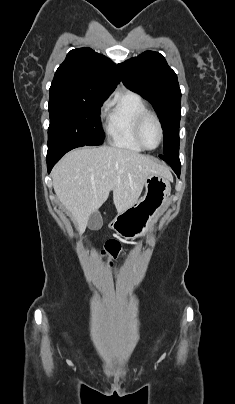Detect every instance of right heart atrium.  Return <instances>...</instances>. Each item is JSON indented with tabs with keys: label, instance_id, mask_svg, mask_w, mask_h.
<instances>
[{
	"label": "right heart atrium",
	"instance_id": "right-heart-atrium-1",
	"mask_svg": "<svg viewBox=\"0 0 235 404\" xmlns=\"http://www.w3.org/2000/svg\"><path fill=\"white\" fill-rule=\"evenodd\" d=\"M106 108V102L102 105V110Z\"/></svg>",
	"mask_w": 235,
	"mask_h": 404
}]
</instances>
